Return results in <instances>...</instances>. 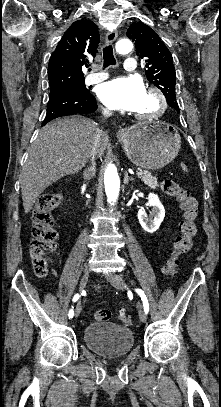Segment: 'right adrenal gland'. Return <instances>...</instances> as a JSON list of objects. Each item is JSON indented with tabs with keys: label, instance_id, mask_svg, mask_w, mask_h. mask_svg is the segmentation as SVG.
<instances>
[{
	"label": "right adrenal gland",
	"instance_id": "right-adrenal-gland-1",
	"mask_svg": "<svg viewBox=\"0 0 221 407\" xmlns=\"http://www.w3.org/2000/svg\"><path fill=\"white\" fill-rule=\"evenodd\" d=\"M95 173H96V163L95 161H93L91 166L84 170V179L90 180L95 176Z\"/></svg>",
	"mask_w": 221,
	"mask_h": 407
}]
</instances>
